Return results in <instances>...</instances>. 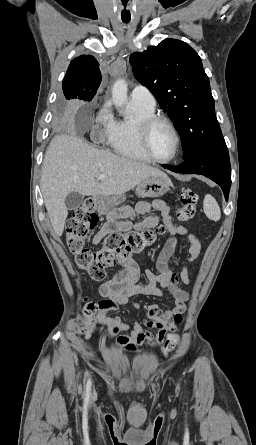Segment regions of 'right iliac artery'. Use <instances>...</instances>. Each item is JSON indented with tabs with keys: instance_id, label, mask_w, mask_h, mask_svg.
Returning <instances> with one entry per match:
<instances>
[{
	"instance_id": "obj_1",
	"label": "right iliac artery",
	"mask_w": 256,
	"mask_h": 445,
	"mask_svg": "<svg viewBox=\"0 0 256 445\" xmlns=\"http://www.w3.org/2000/svg\"><path fill=\"white\" fill-rule=\"evenodd\" d=\"M90 388H91V381L88 380V381H87V384H86V392H87V393L90 391Z\"/></svg>"
}]
</instances>
